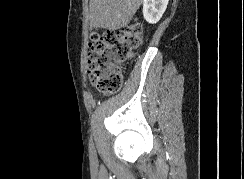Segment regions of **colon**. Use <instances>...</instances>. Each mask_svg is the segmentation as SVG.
Returning <instances> with one entry per match:
<instances>
[{
    "mask_svg": "<svg viewBox=\"0 0 244 179\" xmlns=\"http://www.w3.org/2000/svg\"><path fill=\"white\" fill-rule=\"evenodd\" d=\"M143 44V26L129 24L121 30L90 35L88 73L101 92L115 93L122 83L121 66L127 64Z\"/></svg>",
    "mask_w": 244,
    "mask_h": 179,
    "instance_id": "colon-1",
    "label": "colon"
}]
</instances>
